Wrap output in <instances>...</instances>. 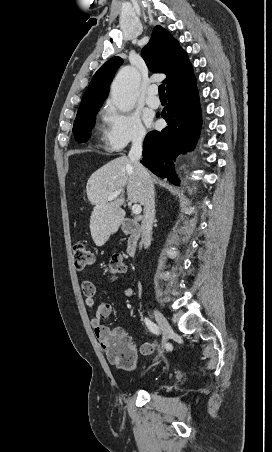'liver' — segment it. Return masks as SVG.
Wrapping results in <instances>:
<instances>
[{"mask_svg": "<svg viewBox=\"0 0 272 452\" xmlns=\"http://www.w3.org/2000/svg\"><path fill=\"white\" fill-rule=\"evenodd\" d=\"M152 178V177H151ZM153 180V178H152ZM132 203L143 205V185L129 157L121 156L104 164L89 178L86 186L88 200L94 205L90 216V232L97 246L104 245L124 221L123 195L108 201V196L118 190Z\"/></svg>", "mask_w": 272, "mask_h": 452, "instance_id": "liver-1", "label": "liver"}]
</instances>
